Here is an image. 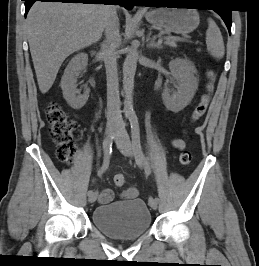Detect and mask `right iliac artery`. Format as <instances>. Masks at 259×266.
<instances>
[{"mask_svg": "<svg viewBox=\"0 0 259 266\" xmlns=\"http://www.w3.org/2000/svg\"><path fill=\"white\" fill-rule=\"evenodd\" d=\"M112 139L113 136H110L108 138H106L103 142V149H104V161L103 164L100 168V170L98 171V176H101L107 169L109 166V159H110V155H111V146H112ZM93 193L92 190L88 191V196L91 195Z\"/></svg>", "mask_w": 259, "mask_h": 266, "instance_id": "obj_1", "label": "right iliac artery"}]
</instances>
